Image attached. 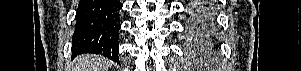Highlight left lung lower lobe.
<instances>
[{
	"mask_svg": "<svg viewBox=\"0 0 301 71\" xmlns=\"http://www.w3.org/2000/svg\"><path fill=\"white\" fill-rule=\"evenodd\" d=\"M209 4H197L191 16L190 35L199 44H210L212 36V17Z\"/></svg>",
	"mask_w": 301,
	"mask_h": 71,
	"instance_id": "obj_1",
	"label": "left lung lower lobe"
}]
</instances>
